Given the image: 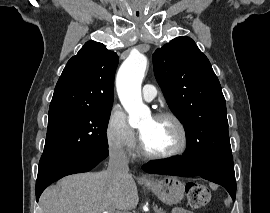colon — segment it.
<instances>
[{
    "instance_id": "obj_1",
    "label": "colon",
    "mask_w": 270,
    "mask_h": 213,
    "mask_svg": "<svg viewBox=\"0 0 270 213\" xmlns=\"http://www.w3.org/2000/svg\"><path fill=\"white\" fill-rule=\"evenodd\" d=\"M185 193L189 204L194 208L207 205L211 199L210 190L197 182H188L185 186Z\"/></svg>"
}]
</instances>
